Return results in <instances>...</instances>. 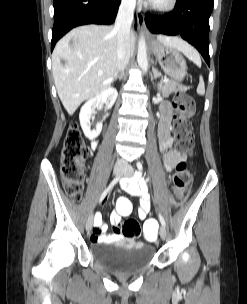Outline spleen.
<instances>
[{
	"label": "spleen",
	"instance_id": "3e777b00",
	"mask_svg": "<svg viewBox=\"0 0 247 304\" xmlns=\"http://www.w3.org/2000/svg\"><path fill=\"white\" fill-rule=\"evenodd\" d=\"M188 58L190 60H192L196 65H198V66L201 65V59H200V57H199L198 54H191ZM197 93L199 95H204L205 94V84H204V80H203L202 76H200V78H199V84H198V87H197Z\"/></svg>",
	"mask_w": 247,
	"mask_h": 304
}]
</instances>
